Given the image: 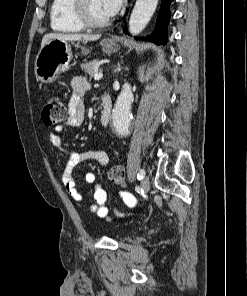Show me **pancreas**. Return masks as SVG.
I'll list each match as a JSON object with an SVG mask.
<instances>
[{
	"label": "pancreas",
	"mask_w": 247,
	"mask_h": 296,
	"mask_svg": "<svg viewBox=\"0 0 247 296\" xmlns=\"http://www.w3.org/2000/svg\"><path fill=\"white\" fill-rule=\"evenodd\" d=\"M99 65L100 62L98 60H93L88 63H83L81 65V68L82 70H84L86 75H88L89 77H93L97 73Z\"/></svg>",
	"instance_id": "cf45deb5"
}]
</instances>
